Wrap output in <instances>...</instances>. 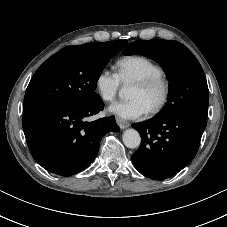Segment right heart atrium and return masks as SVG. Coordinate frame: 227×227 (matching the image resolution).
Listing matches in <instances>:
<instances>
[{
  "label": "right heart atrium",
  "instance_id": "1",
  "mask_svg": "<svg viewBox=\"0 0 227 227\" xmlns=\"http://www.w3.org/2000/svg\"><path fill=\"white\" fill-rule=\"evenodd\" d=\"M121 81L114 71L103 68L95 77V90L105 102H111L116 97Z\"/></svg>",
  "mask_w": 227,
  "mask_h": 227
}]
</instances>
